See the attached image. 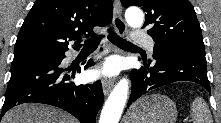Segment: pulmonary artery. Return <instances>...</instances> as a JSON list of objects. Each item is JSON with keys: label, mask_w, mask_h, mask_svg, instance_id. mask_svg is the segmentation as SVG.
Wrapping results in <instances>:
<instances>
[{"label": "pulmonary artery", "mask_w": 221, "mask_h": 123, "mask_svg": "<svg viewBox=\"0 0 221 123\" xmlns=\"http://www.w3.org/2000/svg\"><path fill=\"white\" fill-rule=\"evenodd\" d=\"M132 40L144 44L149 51H153L154 49L153 39L141 31H134L132 34Z\"/></svg>", "instance_id": "pulmonary-artery-1"}]
</instances>
